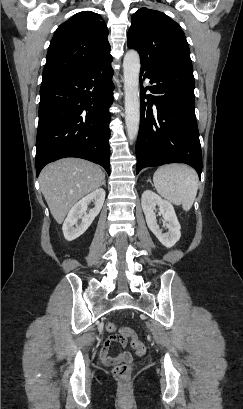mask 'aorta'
Instances as JSON below:
<instances>
[{
	"label": "aorta",
	"instance_id": "aorta-1",
	"mask_svg": "<svg viewBox=\"0 0 243 409\" xmlns=\"http://www.w3.org/2000/svg\"><path fill=\"white\" fill-rule=\"evenodd\" d=\"M123 72L126 131L129 140L133 141L138 135L140 124V56L137 51L129 50L125 54L123 60Z\"/></svg>",
	"mask_w": 243,
	"mask_h": 409
}]
</instances>
